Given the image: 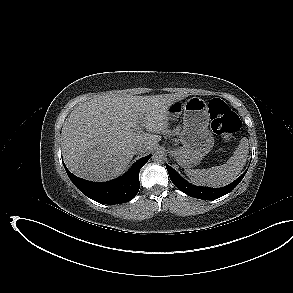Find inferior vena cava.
I'll return each instance as SVG.
<instances>
[{"label":"inferior vena cava","instance_id":"1","mask_svg":"<svg viewBox=\"0 0 293 293\" xmlns=\"http://www.w3.org/2000/svg\"><path fill=\"white\" fill-rule=\"evenodd\" d=\"M142 149H143V146H137L136 148H135V153H139L140 151H142Z\"/></svg>","mask_w":293,"mask_h":293}]
</instances>
